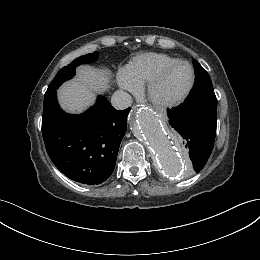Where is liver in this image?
<instances>
[{"label": "liver", "mask_w": 260, "mask_h": 260, "mask_svg": "<svg viewBox=\"0 0 260 260\" xmlns=\"http://www.w3.org/2000/svg\"><path fill=\"white\" fill-rule=\"evenodd\" d=\"M109 77L103 70L81 66L77 69V79L66 82L58 91L59 103L67 112L81 113L93 104L94 92L108 88Z\"/></svg>", "instance_id": "liver-1"}]
</instances>
